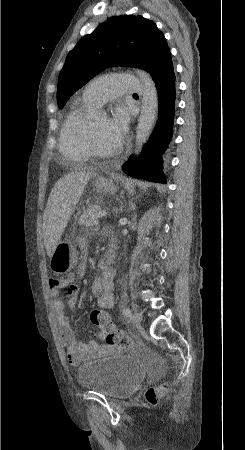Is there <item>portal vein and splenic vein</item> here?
I'll use <instances>...</instances> for the list:
<instances>
[{"mask_svg": "<svg viewBox=\"0 0 245 450\" xmlns=\"http://www.w3.org/2000/svg\"><path fill=\"white\" fill-rule=\"evenodd\" d=\"M106 215H107V213L105 211H100V212H98L97 217L102 218V217H105Z\"/></svg>", "mask_w": 245, "mask_h": 450, "instance_id": "portal-vein-and-splenic-vein-1", "label": "portal vein and splenic vein"}]
</instances>
